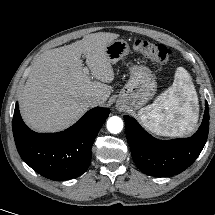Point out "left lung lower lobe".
Returning <instances> with one entry per match:
<instances>
[{
	"label": "left lung lower lobe",
	"mask_w": 215,
	"mask_h": 215,
	"mask_svg": "<svg viewBox=\"0 0 215 215\" xmlns=\"http://www.w3.org/2000/svg\"><path fill=\"white\" fill-rule=\"evenodd\" d=\"M124 120L127 141L137 167L148 175L165 177L186 170L201 153L209 131V108L206 101L202 124L193 136L168 141L152 137L128 115Z\"/></svg>",
	"instance_id": "left-lung-lower-lobe-1"
}]
</instances>
